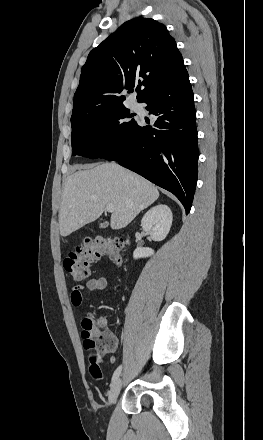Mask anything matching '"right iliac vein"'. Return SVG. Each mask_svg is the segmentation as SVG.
<instances>
[{
	"mask_svg": "<svg viewBox=\"0 0 263 440\" xmlns=\"http://www.w3.org/2000/svg\"><path fill=\"white\" fill-rule=\"evenodd\" d=\"M121 386H122V379L117 378L111 386L109 396H108V405H111L115 402V400L117 399V397L120 393Z\"/></svg>",
	"mask_w": 263,
	"mask_h": 440,
	"instance_id": "1",
	"label": "right iliac vein"
}]
</instances>
